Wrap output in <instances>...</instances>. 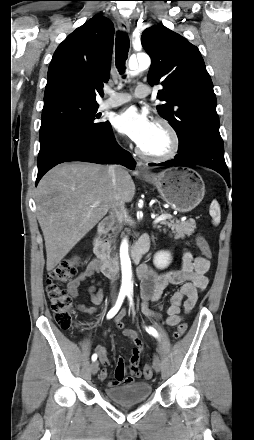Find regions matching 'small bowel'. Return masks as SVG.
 <instances>
[{"label":"small bowel","mask_w":254,"mask_h":440,"mask_svg":"<svg viewBox=\"0 0 254 440\" xmlns=\"http://www.w3.org/2000/svg\"><path fill=\"white\" fill-rule=\"evenodd\" d=\"M209 268V261L201 256L194 257L189 251L185 250L182 255L181 267L159 273L156 270L141 266L138 269L137 277L140 282L141 292V313L152 319L162 317L163 307L160 303L164 289L168 285H179L180 288L172 295L169 305L164 309L165 321L169 326H175L183 320V315L189 313L197 303L199 293L208 287L209 281L206 273ZM100 270L98 260H93L75 278L71 279L67 285V291L72 298L78 296L79 288L85 281L90 280L92 284L88 288L90 299L93 304L100 305L103 300V291L100 282L94 278ZM78 311L94 314L96 307L87 308L82 303H76ZM124 312L120 313L116 319V326L122 331L124 336L132 342L131 356L129 358V368L132 377L125 378V363L122 358L117 362L114 378L108 381V387H115L128 384L133 381V377L140 376V358L143 351V341L135 331L125 327L122 322ZM96 352L100 357L103 368L100 378L107 377V366L110 359L107 356L106 348L103 345L96 347Z\"/></svg>","instance_id":"c3829d8e"}]
</instances>
